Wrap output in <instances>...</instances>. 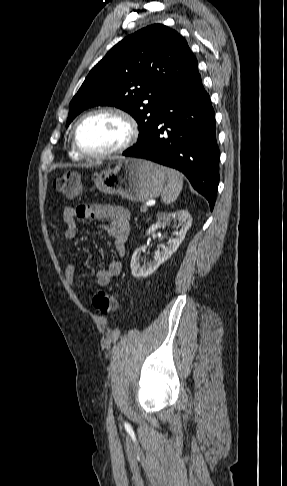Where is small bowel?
<instances>
[{"mask_svg": "<svg viewBox=\"0 0 287 486\" xmlns=\"http://www.w3.org/2000/svg\"><path fill=\"white\" fill-rule=\"evenodd\" d=\"M80 220L102 221L101 228L113 237L114 249L119 257L126 254V243L131 230L129 212L120 206L94 204L66 207L63 212V221L66 225L63 243L68 257L65 279L72 289L78 288V282L75 279L76 268L71 260V241L79 231L78 222ZM121 269L122 264L119 260L111 261L108 266L97 270L95 284L100 287L107 286L112 278L120 274Z\"/></svg>", "mask_w": 287, "mask_h": 486, "instance_id": "c3829d8e", "label": "small bowel"}]
</instances>
